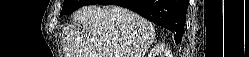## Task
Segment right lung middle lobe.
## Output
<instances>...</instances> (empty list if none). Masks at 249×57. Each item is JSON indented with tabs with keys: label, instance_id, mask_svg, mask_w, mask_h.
Masks as SVG:
<instances>
[{
	"label": "right lung middle lobe",
	"instance_id": "dd1d6c3e",
	"mask_svg": "<svg viewBox=\"0 0 249 57\" xmlns=\"http://www.w3.org/2000/svg\"><path fill=\"white\" fill-rule=\"evenodd\" d=\"M94 0H64L62 11L60 16L63 14L70 15L72 12L78 8L85 5H92Z\"/></svg>",
	"mask_w": 249,
	"mask_h": 57
}]
</instances>
